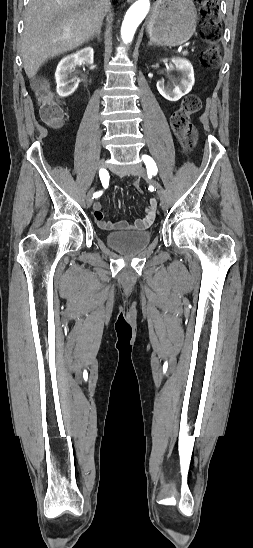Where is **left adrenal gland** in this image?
I'll return each instance as SVG.
<instances>
[{
	"label": "left adrenal gland",
	"mask_w": 253,
	"mask_h": 548,
	"mask_svg": "<svg viewBox=\"0 0 253 548\" xmlns=\"http://www.w3.org/2000/svg\"><path fill=\"white\" fill-rule=\"evenodd\" d=\"M152 45H153L152 42H148V46H152Z\"/></svg>",
	"instance_id": "obj_1"
}]
</instances>
